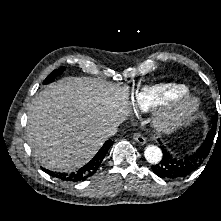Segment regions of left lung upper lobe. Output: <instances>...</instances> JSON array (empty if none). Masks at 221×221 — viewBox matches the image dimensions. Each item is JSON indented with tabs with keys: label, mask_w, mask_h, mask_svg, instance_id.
Instances as JSON below:
<instances>
[{
	"label": "left lung upper lobe",
	"mask_w": 221,
	"mask_h": 221,
	"mask_svg": "<svg viewBox=\"0 0 221 221\" xmlns=\"http://www.w3.org/2000/svg\"><path fill=\"white\" fill-rule=\"evenodd\" d=\"M217 126H218V116H217V114H215L214 119H213L212 130H211L210 133H208V135L206 137V140L203 143V146L200 147L201 149H204V148L209 146L208 150L210 152V149H211V146L213 144V140H214V137H215V134H216V127ZM219 128H221V117H220V126H219Z\"/></svg>",
	"instance_id": "1"
}]
</instances>
